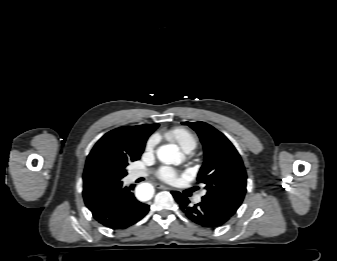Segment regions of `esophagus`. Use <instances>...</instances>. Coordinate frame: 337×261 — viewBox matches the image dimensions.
Returning a JSON list of instances; mask_svg holds the SVG:
<instances>
[{
    "mask_svg": "<svg viewBox=\"0 0 337 261\" xmlns=\"http://www.w3.org/2000/svg\"><path fill=\"white\" fill-rule=\"evenodd\" d=\"M157 187H158L159 189H163V190H169V189H170L169 187H167V186H165V185H163V184H157Z\"/></svg>",
    "mask_w": 337,
    "mask_h": 261,
    "instance_id": "34e87169",
    "label": "esophagus"
}]
</instances>
